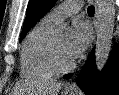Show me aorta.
<instances>
[{"instance_id":"1","label":"aorta","mask_w":119,"mask_h":95,"mask_svg":"<svg viewBox=\"0 0 119 95\" xmlns=\"http://www.w3.org/2000/svg\"><path fill=\"white\" fill-rule=\"evenodd\" d=\"M98 7V25L96 29V47H95V63L98 71H101L109 57L114 22H115V4L113 0H95ZM56 30L65 33L69 30V26L60 22L56 25Z\"/></svg>"}]
</instances>
